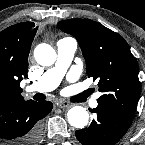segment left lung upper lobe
<instances>
[{"label":"left lung upper lobe","instance_id":"left-lung-upper-lobe-1","mask_svg":"<svg viewBox=\"0 0 145 145\" xmlns=\"http://www.w3.org/2000/svg\"><path fill=\"white\" fill-rule=\"evenodd\" d=\"M58 27L79 42L88 77L98 80V105L133 117L139 100L138 63L118 33L89 19L60 21Z\"/></svg>","mask_w":145,"mask_h":145}]
</instances>
